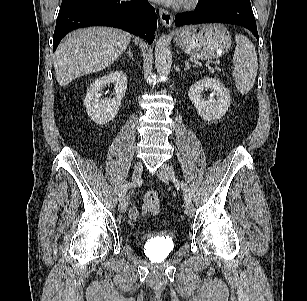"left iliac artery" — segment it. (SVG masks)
Wrapping results in <instances>:
<instances>
[{
	"label": "left iliac artery",
	"mask_w": 307,
	"mask_h": 301,
	"mask_svg": "<svg viewBox=\"0 0 307 301\" xmlns=\"http://www.w3.org/2000/svg\"><path fill=\"white\" fill-rule=\"evenodd\" d=\"M181 187H182V190L184 192L185 202L191 201L190 189L187 186V184L184 183V182H181Z\"/></svg>",
	"instance_id": "left-iliac-artery-1"
}]
</instances>
